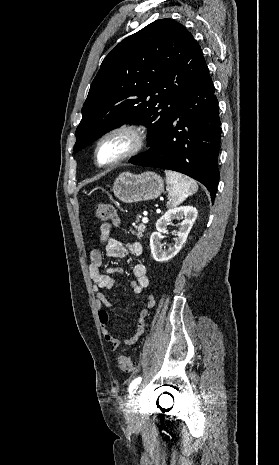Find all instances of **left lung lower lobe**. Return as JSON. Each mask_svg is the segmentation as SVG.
<instances>
[{
  "label": "left lung lower lobe",
  "instance_id": "1",
  "mask_svg": "<svg viewBox=\"0 0 279 465\" xmlns=\"http://www.w3.org/2000/svg\"><path fill=\"white\" fill-rule=\"evenodd\" d=\"M220 125L218 100L203 59L164 134L130 162L188 175L208 189L213 202L219 181Z\"/></svg>",
  "mask_w": 279,
  "mask_h": 465
}]
</instances>
